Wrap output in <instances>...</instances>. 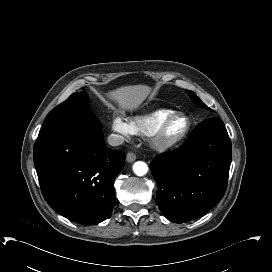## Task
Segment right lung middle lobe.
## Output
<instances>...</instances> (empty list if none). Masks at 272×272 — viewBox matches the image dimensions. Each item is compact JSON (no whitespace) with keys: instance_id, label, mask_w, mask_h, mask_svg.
Masks as SVG:
<instances>
[{"instance_id":"1","label":"right lung middle lobe","mask_w":272,"mask_h":272,"mask_svg":"<svg viewBox=\"0 0 272 272\" xmlns=\"http://www.w3.org/2000/svg\"><path fill=\"white\" fill-rule=\"evenodd\" d=\"M87 94L85 92L73 93L67 100L59 104L53 110H51L46 116L43 126L47 123L65 116L72 115L76 112L84 110Z\"/></svg>"}]
</instances>
